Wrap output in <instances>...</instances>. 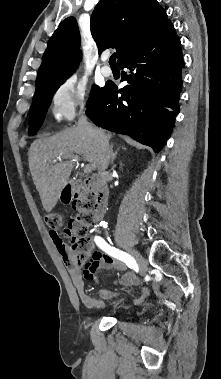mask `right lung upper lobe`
<instances>
[{"mask_svg":"<svg viewBox=\"0 0 221 379\" xmlns=\"http://www.w3.org/2000/svg\"><path fill=\"white\" fill-rule=\"evenodd\" d=\"M91 33L99 52L116 49L119 60L166 23V11L156 0H100L91 16ZM76 19L63 20L51 36L36 79V91L68 78L80 61Z\"/></svg>","mask_w":221,"mask_h":379,"instance_id":"obj_1","label":"right lung upper lobe"}]
</instances>
